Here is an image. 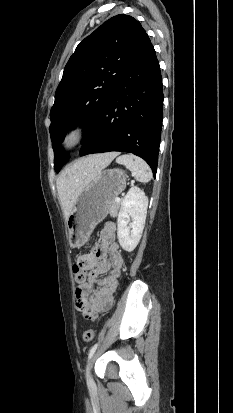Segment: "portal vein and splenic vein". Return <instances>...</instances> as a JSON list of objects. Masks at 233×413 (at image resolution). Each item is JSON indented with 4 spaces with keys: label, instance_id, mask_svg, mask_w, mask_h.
I'll return each instance as SVG.
<instances>
[{
    "label": "portal vein and splenic vein",
    "instance_id": "18ae733b",
    "mask_svg": "<svg viewBox=\"0 0 233 413\" xmlns=\"http://www.w3.org/2000/svg\"><path fill=\"white\" fill-rule=\"evenodd\" d=\"M121 199L119 197H115V202H120Z\"/></svg>",
    "mask_w": 233,
    "mask_h": 413
}]
</instances>
